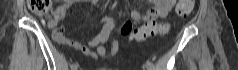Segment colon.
I'll return each mask as SVG.
<instances>
[{
    "mask_svg": "<svg viewBox=\"0 0 238 70\" xmlns=\"http://www.w3.org/2000/svg\"><path fill=\"white\" fill-rule=\"evenodd\" d=\"M194 0H178L176 3L177 13L185 17L193 9ZM28 5L30 10L38 16H46L51 13L50 0H29ZM165 27L161 25L160 21L155 23V19H146V24L132 33V38L136 41L144 40L148 37L163 33Z\"/></svg>",
    "mask_w": 238,
    "mask_h": 70,
    "instance_id": "5ec220e1",
    "label": "colon"
}]
</instances>
